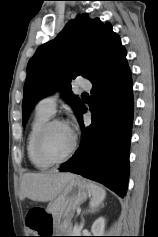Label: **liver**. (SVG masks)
Here are the masks:
<instances>
[{
    "label": "liver",
    "instance_id": "liver-1",
    "mask_svg": "<svg viewBox=\"0 0 158 237\" xmlns=\"http://www.w3.org/2000/svg\"><path fill=\"white\" fill-rule=\"evenodd\" d=\"M76 177L72 173H26L21 180V195L34 201L48 202L56 198L65 186Z\"/></svg>",
    "mask_w": 158,
    "mask_h": 237
}]
</instances>
